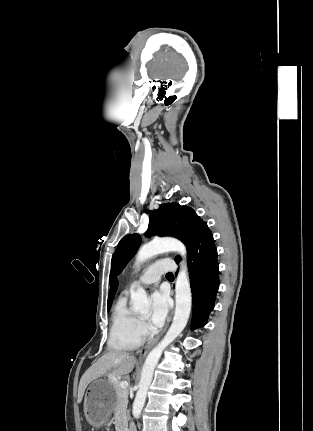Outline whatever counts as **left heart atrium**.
Listing matches in <instances>:
<instances>
[{"label":"left heart atrium","mask_w":313,"mask_h":431,"mask_svg":"<svg viewBox=\"0 0 313 431\" xmlns=\"http://www.w3.org/2000/svg\"><path fill=\"white\" fill-rule=\"evenodd\" d=\"M169 311V299L164 292L156 291L151 295L149 323L158 328L163 325Z\"/></svg>","instance_id":"left-heart-atrium-1"}]
</instances>
